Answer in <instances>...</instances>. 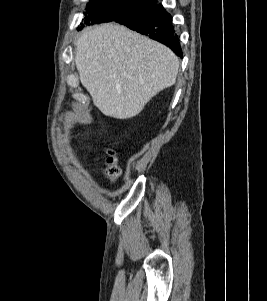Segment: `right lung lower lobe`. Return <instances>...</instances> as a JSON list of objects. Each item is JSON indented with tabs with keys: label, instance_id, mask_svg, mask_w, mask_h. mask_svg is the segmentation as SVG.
Returning <instances> with one entry per match:
<instances>
[{
	"label": "right lung lower lobe",
	"instance_id": "1",
	"mask_svg": "<svg viewBox=\"0 0 267 301\" xmlns=\"http://www.w3.org/2000/svg\"><path fill=\"white\" fill-rule=\"evenodd\" d=\"M115 22L123 24L141 34L148 35L168 46L175 54L182 57V50L178 35L172 24V17L162 5H151L150 7L127 14Z\"/></svg>",
	"mask_w": 267,
	"mask_h": 301
}]
</instances>
